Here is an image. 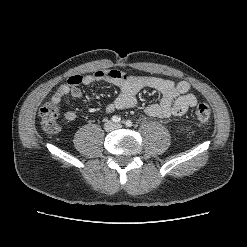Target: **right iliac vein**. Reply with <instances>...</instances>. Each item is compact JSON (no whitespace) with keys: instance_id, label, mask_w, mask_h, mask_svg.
<instances>
[{"instance_id":"right-iliac-vein-1","label":"right iliac vein","mask_w":247,"mask_h":247,"mask_svg":"<svg viewBox=\"0 0 247 247\" xmlns=\"http://www.w3.org/2000/svg\"><path fill=\"white\" fill-rule=\"evenodd\" d=\"M104 127H105L106 130L109 131V130L113 129L114 125H113L112 122L108 121V122L105 123Z\"/></svg>"}]
</instances>
